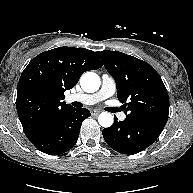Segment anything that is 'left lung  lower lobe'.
Here are the masks:
<instances>
[{"mask_svg": "<svg viewBox=\"0 0 193 193\" xmlns=\"http://www.w3.org/2000/svg\"><path fill=\"white\" fill-rule=\"evenodd\" d=\"M168 118H153L143 121H118L103 129L106 143L124 154H136L150 146L161 134Z\"/></svg>", "mask_w": 193, "mask_h": 193, "instance_id": "obj_1", "label": "left lung lower lobe"}]
</instances>
